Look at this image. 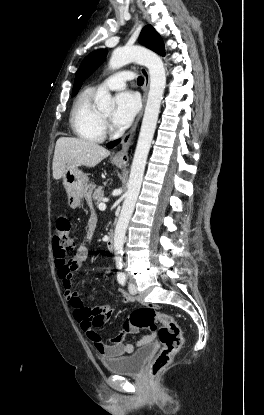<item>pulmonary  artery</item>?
<instances>
[{"mask_svg":"<svg viewBox=\"0 0 264 415\" xmlns=\"http://www.w3.org/2000/svg\"><path fill=\"white\" fill-rule=\"evenodd\" d=\"M133 79V74L129 72H117L108 78H106L103 82L98 84L95 89L96 90H121L126 87V83L128 80Z\"/></svg>","mask_w":264,"mask_h":415,"instance_id":"1","label":"pulmonary artery"}]
</instances>
